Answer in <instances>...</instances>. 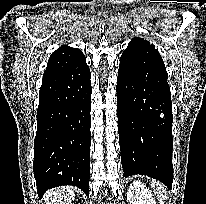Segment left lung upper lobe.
<instances>
[{"label":"left lung upper lobe","mask_w":206,"mask_h":204,"mask_svg":"<svg viewBox=\"0 0 206 204\" xmlns=\"http://www.w3.org/2000/svg\"><path fill=\"white\" fill-rule=\"evenodd\" d=\"M122 56L125 57L133 69L140 67L139 65L141 62L147 59H154L160 62L163 61L158 50L155 49V46L150 44L149 41L139 37L131 40Z\"/></svg>","instance_id":"left-lung-upper-lobe-1"}]
</instances>
